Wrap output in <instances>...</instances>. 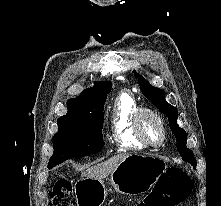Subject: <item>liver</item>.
<instances>
[{
	"instance_id": "6515ba94",
	"label": "liver",
	"mask_w": 221,
	"mask_h": 206,
	"mask_svg": "<svg viewBox=\"0 0 221 206\" xmlns=\"http://www.w3.org/2000/svg\"><path fill=\"white\" fill-rule=\"evenodd\" d=\"M128 155L127 154H119L110 159L89 167L84 173L83 176L102 180L107 176L111 175V173L115 170L117 165L124 160Z\"/></svg>"
}]
</instances>
